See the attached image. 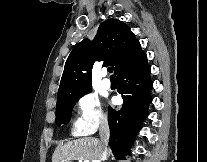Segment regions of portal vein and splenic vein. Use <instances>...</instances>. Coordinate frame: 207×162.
Here are the masks:
<instances>
[{"mask_svg":"<svg viewBox=\"0 0 207 162\" xmlns=\"http://www.w3.org/2000/svg\"><path fill=\"white\" fill-rule=\"evenodd\" d=\"M79 162H90L89 160H84V161H82V160H79ZM92 162H98L97 160H95V161H92Z\"/></svg>","mask_w":207,"mask_h":162,"instance_id":"18ae733b","label":"portal vein and splenic vein"}]
</instances>
